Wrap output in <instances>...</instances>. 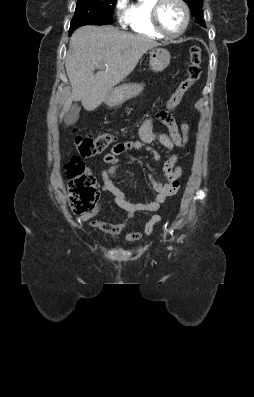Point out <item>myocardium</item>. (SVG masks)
Here are the masks:
<instances>
[{"label":"myocardium","mask_w":254,"mask_h":397,"mask_svg":"<svg viewBox=\"0 0 254 397\" xmlns=\"http://www.w3.org/2000/svg\"><path fill=\"white\" fill-rule=\"evenodd\" d=\"M183 9L184 13V19H183V24L180 30L176 33H168L162 26L161 20H160V12L162 9V6L164 3L167 2V0H156L155 4L153 5L152 8V23L155 28V30L163 37L169 38V39H174L180 37L187 29L189 22H190V10L187 5V3L184 0H174Z\"/></svg>","instance_id":"1"}]
</instances>
